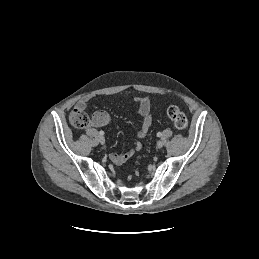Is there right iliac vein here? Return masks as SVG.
Here are the masks:
<instances>
[{
  "mask_svg": "<svg viewBox=\"0 0 259 259\" xmlns=\"http://www.w3.org/2000/svg\"><path fill=\"white\" fill-rule=\"evenodd\" d=\"M99 142L103 145L105 144V138L103 136L99 137Z\"/></svg>",
  "mask_w": 259,
  "mask_h": 259,
  "instance_id": "right-iliac-vein-1",
  "label": "right iliac vein"
}]
</instances>
